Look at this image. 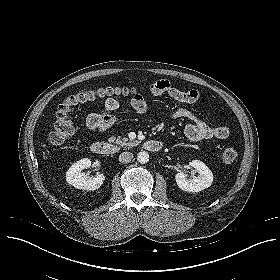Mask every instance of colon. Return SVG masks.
Returning a JSON list of instances; mask_svg holds the SVG:
<instances>
[{"label":"colon","mask_w":280,"mask_h":280,"mask_svg":"<svg viewBox=\"0 0 280 280\" xmlns=\"http://www.w3.org/2000/svg\"><path fill=\"white\" fill-rule=\"evenodd\" d=\"M131 96L140 95L135 88L104 87L98 89H85L75 92L65 98L56 109V120L49 134V142L56 146L67 141L73 134L71 112L81 104L89 103L97 98L110 96ZM237 150L233 146H227L222 150L221 158L225 163H232L237 158Z\"/></svg>","instance_id":"1"}]
</instances>
